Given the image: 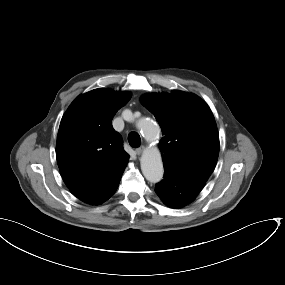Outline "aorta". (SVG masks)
<instances>
[{"instance_id": "1", "label": "aorta", "mask_w": 285, "mask_h": 285, "mask_svg": "<svg viewBox=\"0 0 285 285\" xmlns=\"http://www.w3.org/2000/svg\"><path fill=\"white\" fill-rule=\"evenodd\" d=\"M136 126L147 141H155L159 138L160 128L150 118L139 119ZM140 163L142 173L148 181L157 183L163 178L164 169L158 148L146 149L141 156Z\"/></svg>"}]
</instances>
